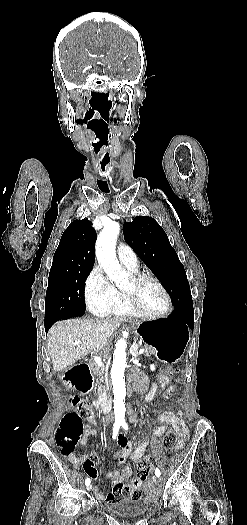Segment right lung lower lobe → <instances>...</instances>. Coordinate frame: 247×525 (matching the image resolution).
<instances>
[{"label":"right lung lower lobe","mask_w":247,"mask_h":525,"mask_svg":"<svg viewBox=\"0 0 247 525\" xmlns=\"http://www.w3.org/2000/svg\"><path fill=\"white\" fill-rule=\"evenodd\" d=\"M49 328H50L49 326H46V325H45V329H46V331H47Z\"/></svg>","instance_id":"1"}]
</instances>
